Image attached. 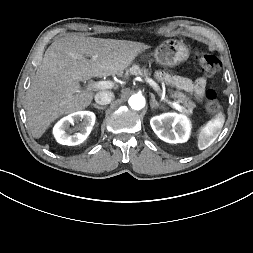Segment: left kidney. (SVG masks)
<instances>
[{
    "label": "left kidney",
    "mask_w": 253,
    "mask_h": 253,
    "mask_svg": "<svg viewBox=\"0 0 253 253\" xmlns=\"http://www.w3.org/2000/svg\"><path fill=\"white\" fill-rule=\"evenodd\" d=\"M150 125L154 133L168 143H184L190 135V121L185 115L164 113L151 118Z\"/></svg>",
    "instance_id": "left-kidney-1"
}]
</instances>
